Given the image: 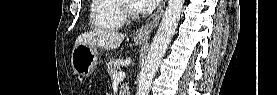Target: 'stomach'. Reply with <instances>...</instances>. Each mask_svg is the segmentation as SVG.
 <instances>
[{"instance_id": "obj_1", "label": "stomach", "mask_w": 277, "mask_h": 95, "mask_svg": "<svg viewBox=\"0 0 277 95\" xmlns=\"http://www.w3.org/2000/svg\"><path fill=\"white\" fill-rule=\"evenodd\" d=\"M137 44H141L143 39L135 38ZM98 63V51L96 47L87 44H79L74 47L71 54V66L73 72L81 77L90 75Z\"/></svg>"}]
</instances>
